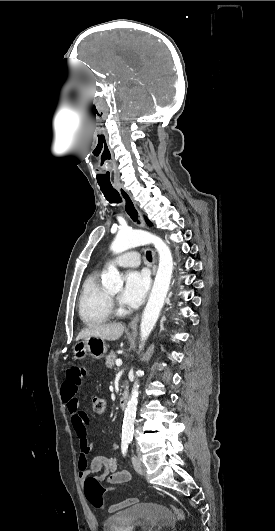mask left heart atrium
<instances>
[{
	"label": "left heart atrium",
	"mask_w": 275,
	"mask_h": 531,
	"mask_svg": "<svg viewBox=\"0 0 275 531\" xmlns=\"http://www.w3.org/2000/svg\"><path fill=\"white\" fill-rule=\"evenodd\" d=\"M150 286L149 274L145 269H130L125 273L124 288L120 300L124 305L138 307Z\"/></svg>",
	"instance_id": "39dd6f15"
}]
</instances>
